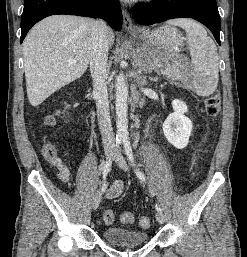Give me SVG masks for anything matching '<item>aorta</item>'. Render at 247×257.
<instances>
[{
    "label": "aorta",
    "mask_w": 247,
    "mask_h": 257,
    "mask_svg": "<svg viewBox=\"0 0 247 257\" xmlns=\"http://www.w3.org/2000/svg\"><path fill=\"white\" fill-rule=\"evenodd\" d=\"M116 128L117 139L124 140L128 138V86L126 83V77L123 73H120L116 78Z\"/></svg>",
    "instance_id": "obj_1"
}]
</instances>
